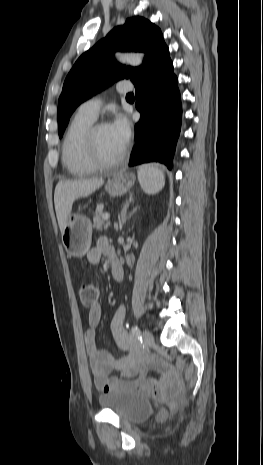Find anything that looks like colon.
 Returning <instances> with one entry per match:
<instances>
[{
    "label": "colon",
    "instance_id": "5ec220e1",
    "mask_svg": "<svg viewBox=\"0 0 263 465\" xmlns=\"http://www.w3.org/2000/svg\"><path fill=\"white\" fill-rule=\"evenodd\" d=\"M99 287L91 281H83L79 286V297L85 307H93L97 304L99 298ZM180 392V384L177 381L166 385L162 391L157 395L162 398L172 400V406H175V399Z\"/></svg>",
    "mask_w": 263,
    "mask_h": 465
}]
</instances>
